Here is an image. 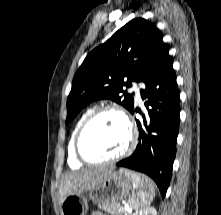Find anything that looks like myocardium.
Returning a JSON list of instances; mask_svg holds the SVG:
<instances>
[{"instance_id": "myocardium-1", "label": "myocardium", "mask_w": 221, "mask_h": 215, "mask_svg": "<svg viewBox=\"0 0 221 215\" xmlns=\"http://www.w3.org/2000/svg\"><path fill=\"white\" fill-rule=\"evenodd\" d=\"M106 112H113L117 114L122 121L124 122L128 137H127V143L123 150H121L119 153L115 154L114 156H111L109 158L105 159H92L89 158L83 151L82 148V139L84 136V133L88 126L101 114ZM137 140V131L135 128V125L133 124L132 120L128 116V114L120 107L116 105H103L101 107H98L94 109L82 122L80 125L74 139V151L75 155L78 158V160L84 164H90V165H98V164H104V163H111L115 162L117 160L122 159L123 157L127 156L134 148Z\"/></svg>"}]
</instances>
